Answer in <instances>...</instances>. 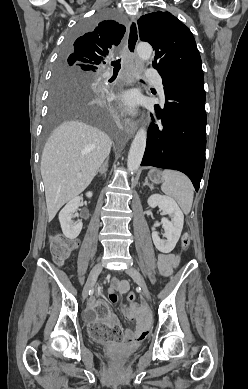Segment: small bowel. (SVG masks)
I'll return each instance as SVG.
<instances>
[{"instance_id": "small-bowel-1", "label": "small bowel", "mask_w": 248, "mask_h": 389, "mask_svg": "<svg viewBox=\"0 0 248 389\" xmlns=\"http://www.w3.org/2000/svg\"><path fill=\"white\" fill-rule=\"evenodd\" d=\"M178 264V257L173 253L160 254L158 257V268L163 276H169L173 272V269ZM111 286L109 288V301L116 303L120 294H125L129 289V283L127 281H120L118 278L120 274L115 272L113 274ZM96 302H93L86 311V318L90 322H95L94 318V306ZM125 317L129 321L136 322V328L134 331L126 330L124 332L123 342L131 347H136L141 341H143L149 333V321L146 316V309L143 305L137 304H123ZM110 323H116L115 316H109Z\"/></svg>"}]
</instances>
